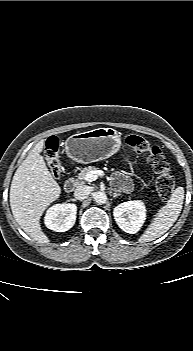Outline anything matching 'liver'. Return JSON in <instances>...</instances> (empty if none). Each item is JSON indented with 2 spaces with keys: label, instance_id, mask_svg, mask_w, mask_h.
Returning a JSON list of instances; mask_svg holds the SVG:
<instances>
[{
  "label": "liver",
  "instance_id": "6515ba94",
  "mask_svg": "<svg viewBox=\"0 0 193 351\" xmlns=\"http://www.w3.org/2000/svg\"><path fill=\"white\" fill-rule=\"evenodd\" d=\"M45 140H40L17 168L10 187V206L19 226L35 241L48 244L40 218L59 198L61 188L41 156Z\"/></svg>",
  "mask_w": 193,
  "mask_h": 351
}]
</instances>
